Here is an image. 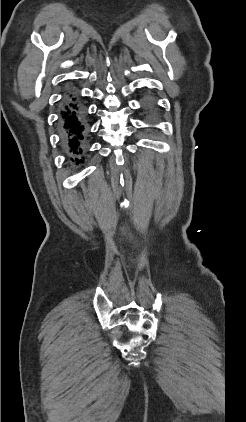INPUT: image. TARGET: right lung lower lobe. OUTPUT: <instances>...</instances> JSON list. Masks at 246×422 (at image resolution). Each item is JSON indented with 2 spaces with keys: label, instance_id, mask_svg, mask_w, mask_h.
<instances>
[{
  "label": "right lung lower lobe",
  "instance_id": "1",
  "mask_svg": "<svg viewBox=\"0 0 246 422\" xmlns=\"http://www.w3.org/2000/svg\"><path fill=\"white\" fill-rule=\"evenodd\" d=\"M61 141L69 153L70 160L83 162V149L87 138L86 117L79 98L69 92L65 96L59 119Z\"/></svg>",
  "mask_w": 246,
  "mask_h": 422
}]
</instances>
